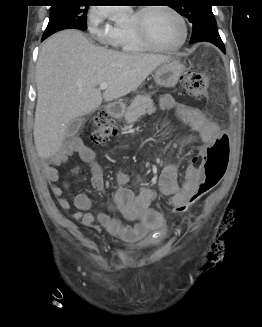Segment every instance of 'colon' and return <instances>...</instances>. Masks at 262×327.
<instances>
[{"mask_svg":"<svg viewBox=\"0 0 262 327\" xmlns=\"http://www.w3.org/2000/svg\"><path fill=\"white\" fill-rule=\"evenodd\" d=\"M181 82L183 88L191 97L197 100H203L207 97L209 82L205 74L188 71L182 76ZM115 134L116 127L111 115L105 109L99 110L94 116V128L91 132L92 141L96 144H103ZM229 156V137L226 134H221L201 156L199 165L202 170V179L196 190L189 194L180 206L176 207V212L184 213L188 211L218 185L226 172Z\"/></svg>","mask_w":262,"mask_h":327,"instance_id":"5ec220e1","label":"colon"}]
</instances>
